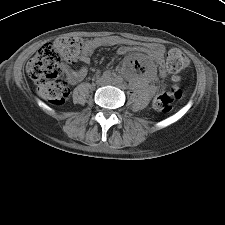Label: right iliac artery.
<instances>
[{
	"instance_id": "1",
	"label": "right iliac artery",
	"mask_w": 225,
	"mask_h": 225,
	"mask_svg": "<svg viewBox=\"0 0 225 225\" xmlns=\"http://www.w3.org/2000/svg\"><path fill=\"white\" fill-rule=\"evenodd\" d=\"M112 76V73L110 72V71H105V72H103V77L104 78H110Z\"/></svg>"
}]
</instances>
